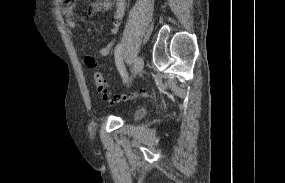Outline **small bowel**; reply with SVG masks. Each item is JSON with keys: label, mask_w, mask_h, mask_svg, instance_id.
<instances>
[{"label": "small bowel", "mask_w": 285, "mask_h": 183, "mask_svg": "<svg viewBox=\"0 0 285 183\" xmlns=\"http://www.w3.org/2000/svg\"><path fill=\"white\" fill-rule=\"evenodd\" d=\"M125 7H126V0H98L93 4L91 13L112 9L113 15L110 27V34L112 35V39L106 46L100 49L97 55L90 54L85 57V63L89 68L97 67L99 58L106 57L110 54L115 44V38L119 32V28L125 12ZM74 9H75L74 4H68L64 8L63 13L66 18L67 25L71 29L79 30L81 28L80 23L73 19Z\"/></svg>", "instance_id": "1"}]
</instances>
